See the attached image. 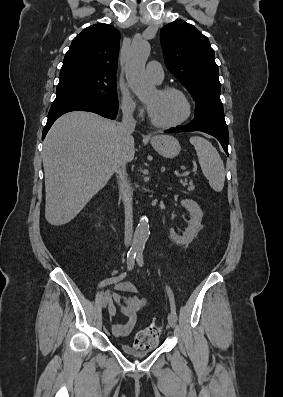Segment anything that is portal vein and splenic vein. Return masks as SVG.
Returning <instances> with one entry per match:
<instances>
[{"instance_id":"18ae733b","label":"portal vein and splenic vein","mask_w":283,"mask_h":397,"mask_svg":"<svg viewBox=\"0 0 283 397\" xmlns=\"http://www.w3.org/2000/svg\"><path fill=\"white\" fill-rule=\"evenodd\" d=\"M189 174H190L189 171H185V172H182V173H176V176H177V177H186V176H188Z\"/></svg>"}]
</instances>
